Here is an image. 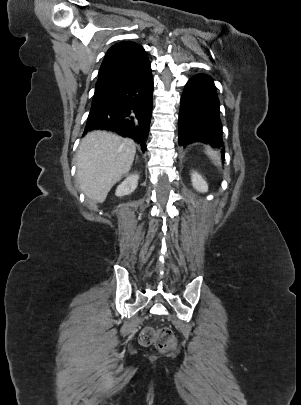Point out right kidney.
<instances>
[{"label":"right kidney","mask_w":301,"mask_h":405,"mask_svg":"<svg viewBox=\"0 0 301 405\" xmlns=\"http://www.w3.org/2000/svg\"><path fill=\"white\" fill-rule=\"evenodd\" d=\"M138 174H131L117 187L115 195L122 197L131 194L138 186Z\"/></svg>","instance_id":"ca27d5eb"}]
</instances>
